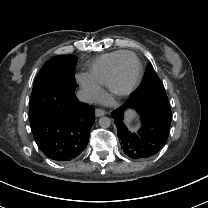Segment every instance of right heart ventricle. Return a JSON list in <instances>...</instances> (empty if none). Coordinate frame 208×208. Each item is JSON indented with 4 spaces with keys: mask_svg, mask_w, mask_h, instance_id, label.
<instances>
[{
    "mask_svg": "<svg viewBox=\"0 0 208 208\" xmlns=\"http://www.w3.org/2000/svg\"><path fill=\"white\" fill-rule=\"evenodd\" d=\"M132 55L135 54L128 50H117L101 55L91 64L88 76L100 88H109V82L117 64Z\"/></svg>",
    "mask_w": 208,
    "mask_h": 208,
    "instance_id": "e07e8e85",
    "label": "right heart ventricle"
}]
</instances>
